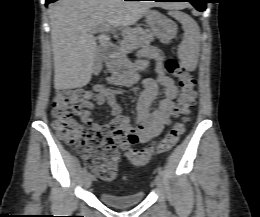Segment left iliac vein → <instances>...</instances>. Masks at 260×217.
<instances>
[{"instance_id":"obj_1","label":"left iliac vein","mask_w":260,"mask_h":217,"mask_svg":"<svg viewBox=\"0 0 260 217\" xmlns=\"http://www.w3.org/2000/svg\"><path fill=\"white\" fill-rule=\"evenodd\" d=\"M155 185L158 189H161L162 188V177L160 175H156L155 177Z\"/></svg>"}]
</instances>
